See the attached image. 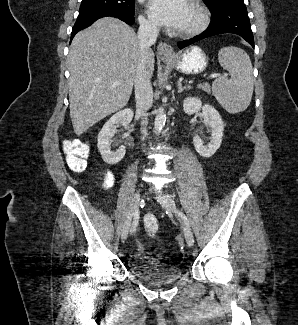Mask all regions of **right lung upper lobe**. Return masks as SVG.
I'll use <instances>...</instances> for the list:
<instances>
[{
  "label": "right lung upper lobe",
  "mask_w": 298,
  "mask_h": 325,
  "mask_svg": "<svg viewBox=\"0 0 298 325\" xmlns=\"http://www.w3.org/2000/svg\"><path fill=\"white\" fill-rule=\"evenodd\" d=\"M111 12H117V11L103 10V11H100V12H97V13H111ZM97 13H95V14H97Z\"/></svg>",
  "instance_id": "right-lung-upper-lobe-1"
}]
</instances>
